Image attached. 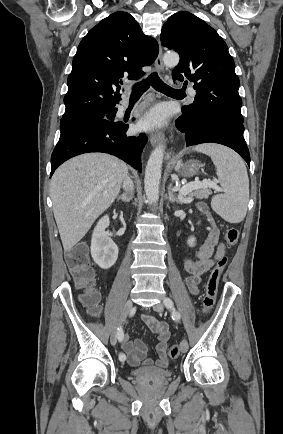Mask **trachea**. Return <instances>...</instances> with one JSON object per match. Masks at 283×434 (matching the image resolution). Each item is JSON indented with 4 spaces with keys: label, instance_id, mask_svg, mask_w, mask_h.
<instances>
[{
    "label": "trachea",
    "instance_id": "1",
    "mask_svg": "<svg viewBox=\"0 0 283 434\" xmlns=\"http://www.w3.org/2000/svg\"><path fill=\"white\" fill-rule=\"evenodd\" d=\"M150 86H152L155 90L167 95L185 94L182 90L174 89L168 86L167 84H165L160 79L157 72H153L146 79L136 83L133 86L131 97L133 98L140 97Z\"/></svg>",
    "mask_w": 283,
    "mask_h": 434
}]
</instances>
